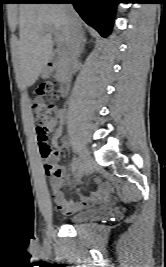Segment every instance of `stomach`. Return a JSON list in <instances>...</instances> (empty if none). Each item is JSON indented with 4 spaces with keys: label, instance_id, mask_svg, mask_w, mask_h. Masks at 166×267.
Instances as JSON below:
<instances>
[{
    "label": "stomach",
    "instance_id": "1",
    "mask_svg": "<svg viewBox=\"0 0 166 267\" xmlns=\"http://www.w3.org/2000/svg\"><path fill=\"white\" fill-rule=\"evenodd\" d=\"M48 75H49V70L46 69V68L43 69L42 72H41V76H42L43 78H47Z\"/></svg>",
    "mask_w": 166,
    "mask_h": 267
}]
</instances>
